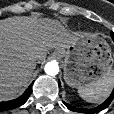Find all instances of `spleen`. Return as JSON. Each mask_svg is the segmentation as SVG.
Returning a JSON list of instances; mask_svg holds the SVG:
<instances>
[{"instance_id": "spleen-1", "label": "spleen", "mask_w": 114, "mask_h": 114, "mask_svg": "<svg viewBox=\"0 0 114 114\" xmlns=\"http://www.w3.org/2000/svg\"><path fill=\"white\" fill-rule=\"evenodd\" d=\"M114 88V70L96 83L78 88L79 95L87 102L102 103Z\"/></svg>"}]
</instances>
